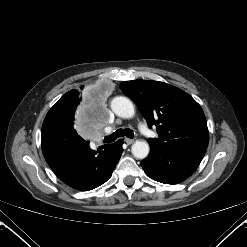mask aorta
Returning a JSON list of instances; mask_svg holds the SVG:
<instances>
[{
  "instance_id": "1",
  "label": "aorta",
  "mask_w": 247,
  "mask_h": 247,
  "mask_svg": "<svg viewBox=\"0 0 247 247\" xmlns=\"http://www.w3.org/2000/svg\"><path fill=\"white\" fill-rule=\"evenodd\" d=\"M112 111L121 118H132L135 114V108L131 100L123 96H117L111 101ZM132 154L135 158L144 159L148 156L150 147L147 141L137 140L132 145Z\"/></svg>"
}]
</instances>
